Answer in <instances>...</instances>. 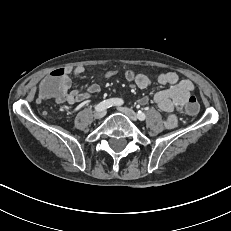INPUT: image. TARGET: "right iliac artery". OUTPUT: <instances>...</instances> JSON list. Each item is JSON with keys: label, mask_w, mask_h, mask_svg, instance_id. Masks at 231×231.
<instances>
[{"label": "right iliac artery", "mask_w": 231, "mask_h": 231, "mask_svg": "<svg viewBox=\"0 0 231 231\" xmlns=\"http://www.w3.org/2000/svg\"><path fill=\"white\" fill-rule=\"evenodd\" d=\"M122 104H123V100L118 98H111L100 102L98 105L95 106V110L102 111V110H106L111 106H120Z\"/></svg>", "instance_id": "82829eb1"}]
</instances>
